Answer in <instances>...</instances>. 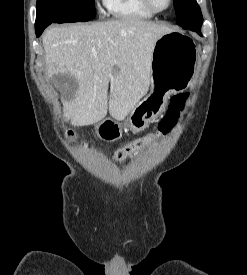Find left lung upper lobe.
<instances>
[{
	"label": "left lung upper lobe",
	"instance_id": "obj_1",
	"mask_svg": "<svg viewBox=\"0 0 247 275\" xmlns=\"http://www.w3.org/2000/svg\"><path fill=\"white\" fill-rule=\"evenodd\" d=\"M177 24L187 30H200L203 17L196 0H174Z\"/></svg>",
	"mask_w": 247,
	"mask_h": 275
}]
</instances>
